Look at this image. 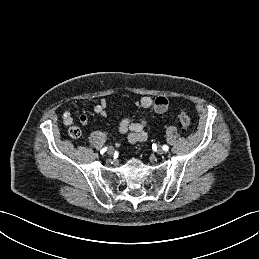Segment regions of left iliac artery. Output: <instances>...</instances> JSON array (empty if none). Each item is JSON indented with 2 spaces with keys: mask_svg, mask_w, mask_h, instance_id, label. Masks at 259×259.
Segmentation results:
<instances>
[{
  "mask_svg": "<svg viewBox=\"0 0 259 259\" xmlns=\"http://www.w3.org/2000/svg\"><path fill=\"white\" fill-rule=\"evenodd\" d=\"M162 148H163L164 151H168V149H169V147L167 145H163Z\"/></svg>",
  "mask_w": 259,
  "mask_h": 259,
  "instance_id": "obj_1",
  "label": "left iliac artery"
}]
</instances>
